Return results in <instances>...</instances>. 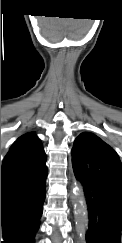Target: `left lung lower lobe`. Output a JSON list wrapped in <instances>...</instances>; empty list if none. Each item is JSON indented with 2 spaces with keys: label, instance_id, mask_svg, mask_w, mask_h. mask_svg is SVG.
I'll use <instances>...</instances> for the list:
<instances>
[{
  "label": "left lung lower lobe",
  "instance_id": "0a47b994",
  "mask_svg": "<svg viewBox=\"0 0 122 243\" xmlns=\"http://www.w3.org/2000/svg\"><path fill=\"white\" fill-rule=\"evenodd\" d=\"M87 221L85 243L122 242V164L107 147L99 154L80 157L73 167Z\"/></svg>",
  "mask_w": 122,
  "mask_h": 243
}]
</instances>
